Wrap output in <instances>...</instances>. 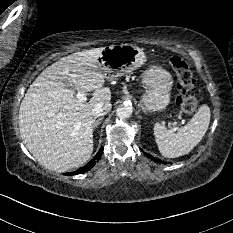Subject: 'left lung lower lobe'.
Wrapping results in <instances>:
<instances>
[{
    "mask_svg": "<svg viewBox=\"0 0 233 233\" xmlns=\"http://www.w3.org/2000/svg\"><path fill=\"white\" fill-rule=\"evenodd\" d=\"M147 156L152 159L153 161H156L158 163H165L164 161L159 160L158 158L153 157L152 155L147 154Z\"/></svg>",
    "mask_w": 233,
    "mask_h": 233,
    "instance_id": "left-lung-lower-lobe-1",
    "label": "left lung lower lobe"
}]
</instances>
